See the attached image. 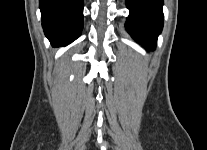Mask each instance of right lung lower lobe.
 <instances>
[{
	"label": "right lung lower lobe",
	"instance_id": "obj_1",
	"mask_svg": "<svg viewBox=\"0 0 207 150\" xmlns=\"http://www.w3.org/2000/svg\"><path fill=\"white\" fill-rule=\"evenodd\" d=\"M42 27L53 45L76 40L83 28V0H39Z\"/></svg>",
	"mask_w": 207,
	"mask_h": 150
}]
</instances>
